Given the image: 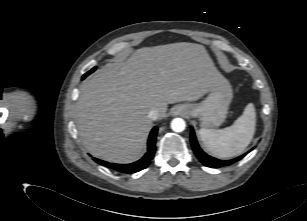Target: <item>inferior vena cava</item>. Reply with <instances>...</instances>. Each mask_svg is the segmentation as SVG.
<instances>
[{"label":"inferior vena cava","mask_w":307,"mask_h":221,"mask_svg":"<svg viewBox=\"0 0 307 221\" xmlns=\"http://www.w3.org/2000/svg\"><path fill=\"white\" fill-rule=\"evenodd\" d=\"M148 118L155 121L159 118V112L158 110L156 109H153L151 110L149 113H148Z\"/></svg>","instance_id":"inferior-vena-cava-1"}]
</instances>
